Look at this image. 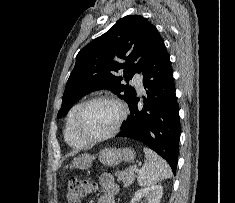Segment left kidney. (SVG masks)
Wrapping results in <instances>:
<instances>
[{
	"instance_id": "5707ae66",
	"label": "left kidney",
	"mask_w": 235,
	"mask_h": 203,
	"mask_svg": "<svg viewBox=\"0 0 235 203\" xmlns=\"http://www.w3.org/2000/svg\"><path fill=\"white\" fill-rule=\"evenodd\" d=\"M163 194L161 185H153L150 187L139 189L135 192L130 203H137L144 199L145 203H160Z\"/></svg>"
}]
</instances>
